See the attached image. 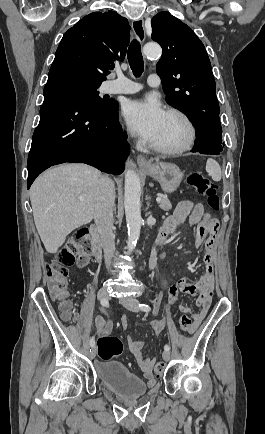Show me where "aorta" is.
<instances>
[{
    "instance_id": "obj_1",
    "label": "aorta",
    "mask_w": 265,
    "mask_h": 434,
    "mask_svg": "<svg viewBox=\"0 0 265 434\" xmlns=\"http://www.w3.org/2000/svg\"><path fill=\"white\" fill-rule=\"evenodd\" d=\"M145 56H158L161 48L157 44H146L143 48ZM132 164V162H130ZM141 184L136 172L128 168L125 174L124 208L128 228V250L133 252L139 240L142 218L140 212Z\"/></svg>"
}]
</instances>
